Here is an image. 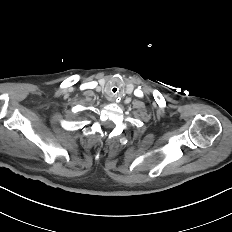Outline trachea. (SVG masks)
Returning a JSON list of instances; mask_svg holds the SVG:
<instances>
[{
    "label": "trachea",
    "mask_w": 232,
    "mask_h": 232,
    "mask_svg": "<svg viewBox=\"0 0 232 232\" xmlns=\"http://www.w3.org/2000/svg\"><path fill=\"white\" fill-rule=\"evenodd\" d=\"M119 92H120V88H119L118 86H112V87L110 88V93H111L112 95H117Z\"/></svg>",
    "instance_id": "trachea-1"
}]
</instances>
